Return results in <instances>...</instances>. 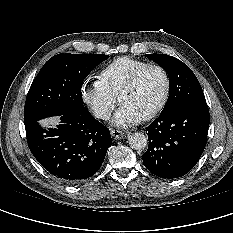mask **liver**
I'll return each mask as SVG.
<instances>
[{
	"mask_svg": "<svg viewBox=\"0 0 233 233\" xmlns=\"http://www.w3.org/2000/svg\"><path fill=\"white\" fill-rule=\"evenodd\" d=\"M41 123L46 127H48L49 124H51V125H56L57 124L55 118L42 120Z\"/></svg>",
	"mask_w": 233,
	"mask_h": 233,
	"instance_id": "1",
	"label": "liver"
}]
</instances>
